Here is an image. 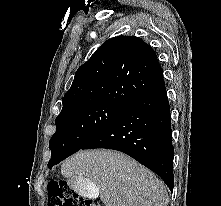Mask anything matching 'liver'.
<instances>
[{
    "label": "liver",
    "instance_id": "liver-1",
    "mask_svg": "<svg viewBox=\"0 0 221 206\" xmlns=\"http://www.w3.org/2000/svg\"><path fill=\"white\" fill-rule=\"evenodd\" d=\"M61 173L75 183H91L105 206H168L164 183L117 151H79L63 162Z\"/></svg>",
    "mask_w": 221,
    "mask_h": 206
}]
</instances>
